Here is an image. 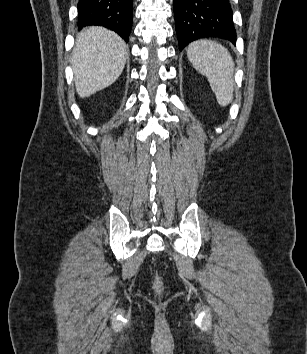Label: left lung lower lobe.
<instances>
[{
	"label": "left lung lower lobe",
	"mask_w": 307,
	"mask_h": 354,
	"mask_svg": "<svg viewBox=\"0 0 307 354\" xmlns=\"http://www.w3.org/2000/svg\"><path fill=\"white\" fill-rule=\"evenodd\" d=\"M179 49L203 37H219L236 43L229 0H173Z\"/></svg>",
	"instance_id": "obj_1"
}]
</instances>
